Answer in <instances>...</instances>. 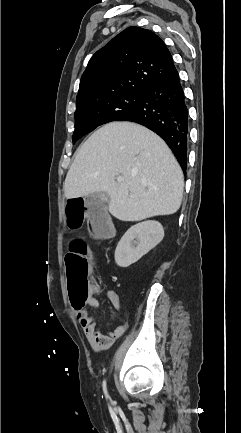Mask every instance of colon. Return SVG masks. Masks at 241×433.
<instances>
[{
	"label": "colon",
	"mask_w": 241,
	"mask_h": 433,
	"mask_svg": "<svg viewBox=\"0 0 241 433\" xmlns=\"http://www.w3.org/2000/svg\"><path fill=\"white\" fill-rule=\"evenodd\" d=\"M66 197V196H65ZM85 198H67L65 203L68 218L66 229H81L85 216H89V228L97 238L109 233V205L102 200H84ZM67 272L68 290L73 312H84L88 300L93 297V284L90 278L91 260L88 246L80 240L75 241L66 258L62 261Z\"/></svg>",
	"instance_id": "1"
}]
</instances>
